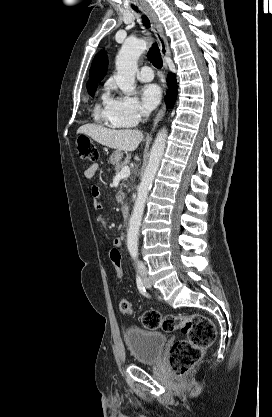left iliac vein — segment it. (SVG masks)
<instances>
[{
	"mask_svg": "<svg viewBox=\"0 0 272 417\" xmlns=\"http://www.w3.org/2000/svg\"><path fill=\"white\" fill-rule=\"evenodd\" d=\"M145 285H146L147 288H149L151 286L149 281H147V280H145Z\"/></svg>",
	"mask_w": 272,
	"mask_h": 417,
	"instance_id": "4c4485c4",
	"label": "left iliac vein"
}]
</instances>
